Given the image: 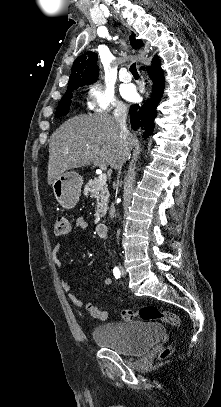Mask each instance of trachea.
<instances>
[{
    "label": "trachea",
    "instance_id": "obj_1",
    "mask_svg": "<svg viewBox=\"0 0 221 407\" xmlns=\"http://www.w3.org/2000/svg\"><path fill=\"white\" fill-rule=\"evenodd\" d=\"M130 72H131L133 75H138L137 68H136V63H133V64L130 66Z\"/></svg>",
    "mask_w": 221,
    "mask_h": 407
}]
</instances>
